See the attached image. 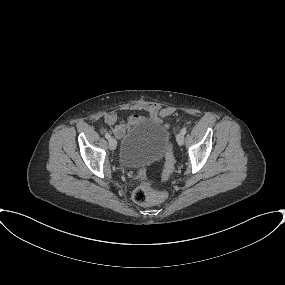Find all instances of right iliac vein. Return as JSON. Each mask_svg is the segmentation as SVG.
Returning <instances> with one entry per match:
<instances>
[{"label": "right iliac vein", "instance_id": "right-iliac-vein-1", "mask_svg": "<svg viewBox=\"0 0 285 285\" xmlns=\"http://www.w3.org/2000/svg\"><path fill=\"white\" fill-rule=\"evenodd\" d=\"M116 147H117V142H116V140H115L114 138H110V139H109V148H110L111 150H115Z\"/></svg>", "mask_w": 285, "mask_h": 285}]
</instances>
